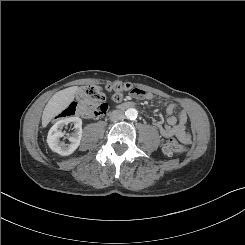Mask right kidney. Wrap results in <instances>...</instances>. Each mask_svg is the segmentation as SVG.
<instances>
[{"label":"right kidney","mask_w":245,"mask_h":245,"mask_svg":"<svg viewBox=\"0 0 245 245\" xmlns=\"http://www.w3.org/2000/svg\"><path fill=\"white\" fill-rule=\"evenodd\" d=\"M68 124H73L74 132L68 137L70 143L66 144L60 141L64 136L62 129ZM82 137V120L79 117H69L59 120L49 130L47 143L50 149L62 156L71 155L80 145Z\"/></svg>","instance_id":"obj_1"}]
</instances>
